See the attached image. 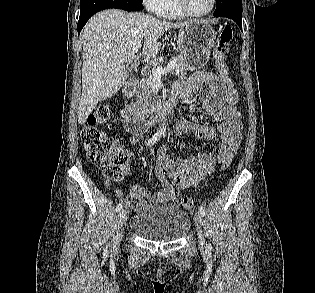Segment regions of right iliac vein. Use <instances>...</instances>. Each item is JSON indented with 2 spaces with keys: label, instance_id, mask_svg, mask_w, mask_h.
<instances>
[{
  "label": "right iliac vein",
  "instance_id": "obj_1",
  "mask_svg": "<svg viewBox=\"0 0 315 293\" xmlns=\"http://www.w3.org/2000/svg\"><path fill=\"white\" fill-rule=\"evenodd\" d=\"M127 221V212L126 210H121L117 216V224H116V236L113 243V249H116L119 246V243L122 240L123 226Z\"/></svg>",
  "mask_w": 315,
  "mask_h": 293
}]
</instances>
